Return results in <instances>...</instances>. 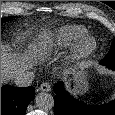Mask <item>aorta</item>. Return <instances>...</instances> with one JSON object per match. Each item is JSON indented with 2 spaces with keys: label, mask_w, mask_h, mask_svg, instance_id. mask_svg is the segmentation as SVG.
Segmentation results:
<instances>
[{
  "label": "aorta",
  "mask_w": 115,
  "mask_h": 115,
  "mask_svg": "<svg viewBox=\"0 0 115 115\" xmlns=\"http://www.w3.org/2000/svg\"><path fill=\"white\" fill-rule=\"evenodd\" d=\"M35 103L41 110H50L54 107V98L50 93L42 92L37 95Z\"/></svg>",
  "instance_id": "obj_1"
}]
</instances>
